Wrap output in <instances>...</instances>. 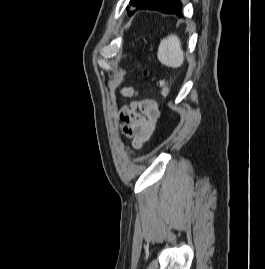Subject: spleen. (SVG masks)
<instances>
[{
	"instance_id": "1",
	"label": "spleen",
	"mask_w": 265,
	"mask_h": 269,
	"mask_svg": "<svg viewBox=\"0 0 265 269\" xmlns=\"http://www.w3.org/2000/svg\"><path fill=\"white\" fill-rule=\"evenodd\" d=\"M157 57L161 64L168 67L178 68L183 64L184 53L177 35H169L161 40Z\"/></svg>"
}]
</instances>
